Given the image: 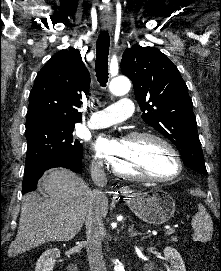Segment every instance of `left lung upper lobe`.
<instances>
[{
    "label": "left lung upper lobe",
    "instance_id": "left-lung-upper-lobe-1",
    "mask_svg": "<svg viewBox=\"0 0 221 271\" xmlns=\"http://www.w3.org/2000/svg\"><path fill=\"white\" fill-rule=\"evenodd\" d=\"M121 70L133 82L143 120L177 146L187 167L206 175L193 103L177 67L159 50L136 45L124 51Z\"/></svg>",
    "mask_w": 221,
    "mask_h": 271
}]
</instances>
